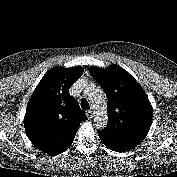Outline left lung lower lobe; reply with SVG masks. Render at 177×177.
Listing matches in <instances>:
<instances>
[{
  "instance_id": "1",
  "label": "left lung lower lobe",
  "mask_w": 177,
  "mask_h": 177,
  "mask_svg": "<svg viewBox=\"0 0 177 177\" xmlns=\"http://www.w3.org/2000/svg\"><path fill=\"white\" fill-rule=\"evenodd\" d=\"M103 144L108 147L109 149H112L114 151H118V152H125V151H129L131 149L125 148L124 144H120V143H113V142H104ZM133 149V148H132Z\"/></svg>"
}]
</instances>
